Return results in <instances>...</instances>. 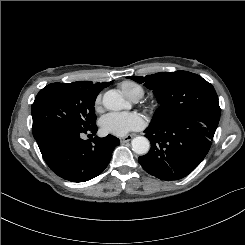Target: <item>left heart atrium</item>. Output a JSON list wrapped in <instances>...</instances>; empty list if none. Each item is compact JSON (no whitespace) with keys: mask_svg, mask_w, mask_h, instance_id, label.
I'll list each match as a JSON object with an SVG mask.
<instances>
[{"mask_svg":"<svg viewBox=\"0 0 245 245\" xmlns=\"http://www.w3.org/2000/svg\"><path fill=\"white\" fill-rule=\"evenodd\" d=\"M143 125V117L134 112H112L104 115L100 120L102 131L114 136H125L131 131L142 128Z\"/></svg>","mask_w":245,"mask_h":245,"instance_id":"1","label":"left heart atrium"}]
</instances>
